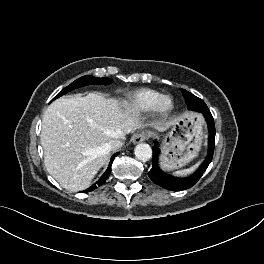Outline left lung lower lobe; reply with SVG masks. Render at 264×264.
Wrapping results in <instances>:
<instances>
[{
  "mask_svg": "<svg viewBox=\"0 0 264 264\" xmlns=\"http://www.w3.org/2000/svg\"><path fill=\"white\" fill-rule=\"evenodd\" d=\"M201 113L204 115L207 121L209 130L208 154L206 160L193 175L186 178L173 177L171 175L163 173L158 167L157 160L159 148L155 145L153 147L152 168L148 173V176L155 184L172 191L185 190L195 185L196 182L201 178L203 173L206 171L208 165L210 164L213 158L216 130L214 125V119L209 109H202Z\"/></svg>",
  "mask_w": 264,
  "mask_h": 264,
  "instance_id": "1",
  "label": "left lung lower lobe"
}]
</instances>
